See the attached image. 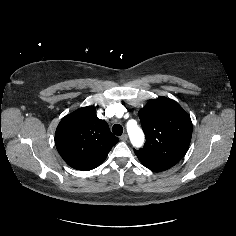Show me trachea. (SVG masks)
Returning a JSON list of instances; mask_svg holds the SVG:
<instances>
[{"label":"trachea","mask_w":236,"mask_h":236,"mask_svg":"<svg viewBox=\"0 0 236 236\" xmlns=\"http://www.w3.org/2000/svg\"><path fill=\"white\" fill-rule=\"evenodd\" d=\"M112 132L117 135L120 136L123 133V127L120 124H115L112 127Z\"/></svg>","instance_id":"obj_1"}]
</instances>
